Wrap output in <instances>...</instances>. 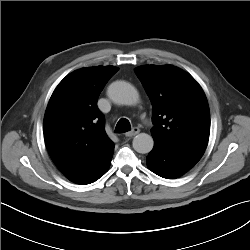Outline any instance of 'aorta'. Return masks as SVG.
Segmentation results:
<instances>
[{
	"instance_id": "762f6f07",
	"label": "aorta",
	"mask_w": 250,
	"mask_h": 250,
	"mask_svg": "<svg viewBox=\"0 0 250 250\" xmlns=\"http://www.w3.org/2000/svg\"><path fill=\"white\" fill-rule=\"evenodd\" d=\"M109 98L122 105H135L139 100L137 90L128 82L115 81L108 87ZM154 145L152 136L146 133H140L133 139V148L141 154L149 153Z\"/></svg>"
}]
</instances>
